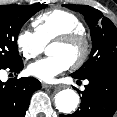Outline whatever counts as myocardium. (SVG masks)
<instances>
[{"mask_svg": "<svg viewBox=\"0 0 117 117\" xmlns=\"http://www.w3.org/2000/svg\"><path fill=\"white\" fill-rule=\"evenodd\" d=\"M61 44L64 46H77L80 48L79 56L71 63L73 68L83 66L88 60L91 52V44L84 33L72 32L60 35L52 40L51 44Z\"/></svg>", "mask_w": 117, "mask_h": 117, "instance_id": "f54148a6", "label": "myocardium"}]
</instances>
